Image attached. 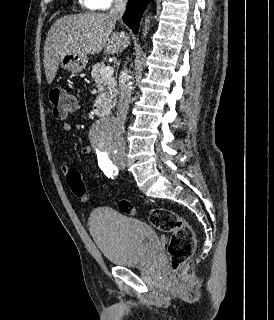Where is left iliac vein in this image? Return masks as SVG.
<instances>
[{
	"label": "left iliac vein",
	"mask_w": 274,
	"mask_h": 320,
	"mask_svg": "<svg viewBox=\"0 0 274 320\" xmlns=\"http://www.w3.org/2000/svg\"><path fill=\"white\" fill-rule=\"evenodd\" d=\"M117 165L121 170L125 169V164H123V165L117 164Z\"/></svg>",
	"instance_id": "4c4485c4"
}]
</instances>
